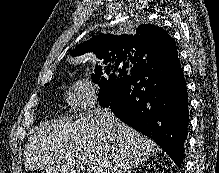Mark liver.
Masks as SVG:
<instances>
[{"instance_id": "1", "label": "liver", "mask_w": 219, "mask_h": 173, "mask_svg": "<svg viewBox=\"0 0 219 173\" xmlns=\"http://www.w3.org/2000/svg\"><path fill=\"white\" fill-rule=\"evenodd\" d=\"M157 150V145L97 108L73 118L40 124L28 138L24 165L31 172L131 173Z\"/></svg>"}]
</instances>
